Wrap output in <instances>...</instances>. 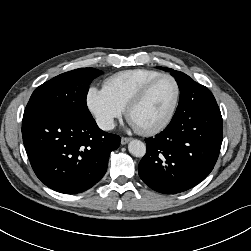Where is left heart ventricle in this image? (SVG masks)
<instances>
[{"label":"left heart ventricle","instance_id":"1","mask_svg":"<svg viewBox=\"0 0 251 251\" xmlns=\"http://www.w3.org/2000/svg\"><path fill=\"white\" fill-rule=\"evenodd\" d=\"M175 96L172 80L164 78L155 83L144 100L130 114L131 123L137 128L153 126L168 114Z\"/></svg>","mask_w":251,"mask_h":251}]
</instances>
